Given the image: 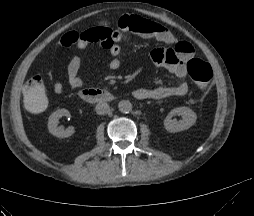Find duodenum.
Returning a JSON list of instances; mask_svg holds the SVG:
<instances>
[{
    "label": "duodenum",
    "instance_id": "1",
    "mask_svg": "<svg viewBox=\"0 0 254 216\" xmlns=\"http://www.w3.org/2000/svg\"><path fill=\"white\" fill-rule=\"evenodd\" d=\"M80 96L82 99L89 102H106L113 100V95L102 89L88 88L81 91Z\"/></svg>",
    "mask_w": 254,
    "mask_h": 216
}]
</instances>
